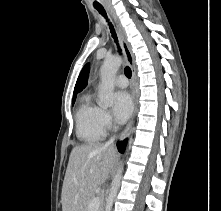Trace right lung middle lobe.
Wrapping results in <instances>:
<instances>
[{
	"label": "right lung middle lobe",
	"instance_id": "dd1d6c3e",
	"mask_svg": "<svg viewBox=\"0 0 221 211\" xmlns=\"http://www.w3.org/2000/svg\"><path fill=\"white\" fill-rule=\"evenodd\" d=\"M75 99H76V97H73V100H72V105L74 104V102H75Z\"/></svg>",
	"mask_w": 221,
	"mask_h": 211
}]
</instances>
